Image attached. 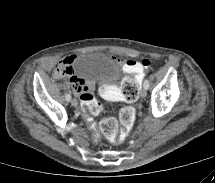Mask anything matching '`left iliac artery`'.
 <instances>
[{
  "mask_svg": "<svg viewBox=\"0 0 215 183\" xmlns=\"http://www.w3.org/2000/svg\"><path fill=\"white\" fill-rule=\"evenodd\" d=\"M144 88H146V89L149 88V81L148 80L144 81Z\"/></svg>",
  "mask_w": 215,
  "mask_h": 183,
  "instance_id": "obj_1",
  "label": "left iliac artery"
}]
</instances>
